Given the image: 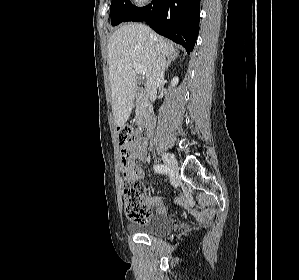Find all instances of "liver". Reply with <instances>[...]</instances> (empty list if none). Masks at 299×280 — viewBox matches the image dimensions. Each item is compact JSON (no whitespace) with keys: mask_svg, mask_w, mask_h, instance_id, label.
Wrapping results in <instances>:
<instances>
[{"mask_svg":"<svg viewBox=\"0 0 299 280\" xmlns=\"http://www.w3.org/2000/svg\"><path fill=\"white\" fill-rule=\"evenodd\" d=\"M174 53L177 52L171 43L139 23L123 25L109 37L112 112L117 127L127 122L133 108L138 89L134 64L146 67L148 78L159 55L169 58Z\"/></svg>","mask_w":299,"mask_h":280,"instance_id":"1","label":"liver"}]
</instances>
